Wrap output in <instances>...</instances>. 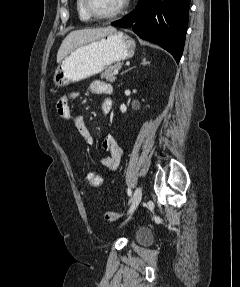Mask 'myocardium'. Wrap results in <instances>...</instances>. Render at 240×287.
<instances>
[{
  "mask_svg": "<svg viewBox=\"0 0 240 287\" xmlns=\"http://www.w3.org/2000/svg\"><path fill=\"white\" fill-rule=\"evenodd\" d=\"M128 3L129 0H123L115 10L107 14H102L94 8L92 0H84V5L87 13L96 20H109L117 17L127 8Z\"/></svg>",
  "mask_w": 240,
  "mask_h": 287,
  "instance_id": "f54148a6",
  "label": "myocardium"
}]
</instances>
